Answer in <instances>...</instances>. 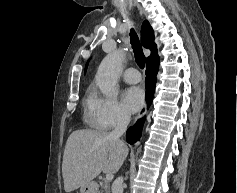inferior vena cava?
Returning <instances> with one entry per match:
<instances>
[{
  "instance_id": "inferior-vena-cava-1",
  "label": "inferior vena cava",
  "mask_w": 237,
  "mask_h": 193,
  "mask_svg": "<svg viewBox=\"0 0 237 193\" xmlns=\"http://www.w3.org/2000/svg\"><path fill=\"white\" fill-rule=\"evenodd\" d=\"M130 122V115L121 112L116 119L115 127L110 133V137L118 139L125 133ZM112 193H123V178L118 177L112 184Z\"/></svg>"
}]
</instances>
